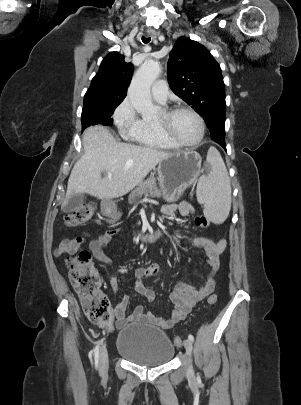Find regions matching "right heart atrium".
I'll return each mask as SVG.
<instances>
[{
	"label": "right heart atrium",
	"mask_w": 301,
	"mask_h": 405,
	"mask_svg": "<svg viewBox=\"0 0 301 405\" xmlns=\"http://www.w3.org/2000/svg\"><path fill=\"white\" fill-rule=\"evenodd\" d=\"M115 124L124 135H129L139 125L140 118L131 101L125 98L113 113Z\"/></svg>",
	"instance_id": "right-heart-atrium-1"
}]
</instances>
